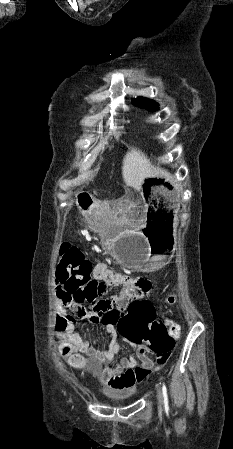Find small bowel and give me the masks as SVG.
<instances>
[{"label":"small bowel","instance_id":"obj_1","mask_svg":"<svg viewBox=\"0 0 233 449\" xmlns=\"http://www.w3.org/2000/svg\"><path fill=\"white\" fill-rule=\"evenodd\" d=\"M92 277L99 281L94 293L95 298L99 300L88 307L97 310L96 316L86 307L76 304L72 297L65 293L64 278L60 273L55 277L54 290L61 308L64 313L73 317L63 329L65 340L67 345L71 347L72 354L81 357L82 365L90 367L98 373L109 387L115 390L131 389L143 382L150 373L163 368L170 354L155 355L153 359L148 355L149 349H135L134 343H131L135 354L122 357L115 367L108 366V363L118 354L122 338L118 336L116 328L110 327L108 317L102 318L100 314L105 312V307H117L118 310H121V308L128 306L129 301H142L143 296H147L149 291L153 289V284L146 274L115 272L99 258H94ZM106 285L120 287L118 294L110 300L107 299L110 294ZM74 318L92 323H102L110 335L108 348L101 351L84 341L78 333L74 332ZM164 326L168 331L173 326L180 330L179 326L170 319H165Z\"/></svg>","mask_w":233,"mask_h":449}]
</instances>
